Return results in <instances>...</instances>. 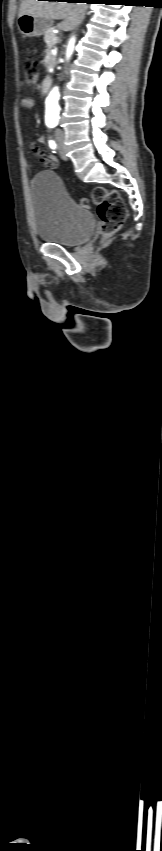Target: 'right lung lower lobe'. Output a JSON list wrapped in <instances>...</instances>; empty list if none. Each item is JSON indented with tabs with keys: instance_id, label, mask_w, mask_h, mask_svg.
<instances>
[{
	"instance_id": "obj_1",
	"label": "right lung lower lobe",
	"mask_w": 162,
	"mask_h": 851,
	"mask_svg": "<svg viewBox=\"0 0 162 851\" xmlns=\"http://www.w3.org/2000/svg\"><path fill=\"white\" fill-rule=\"evenodd\" d=\"M49 1H60V0H49ZM64 1H67V2H76V3H79V2H85V3H88V4H90V3H98V0H64Z\"/></svg>"
}]
</instances>
